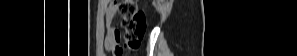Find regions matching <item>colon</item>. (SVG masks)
<instances>
[{"label": "colon", "mask_w": 297, "mask_h": 56, "mask_svg": "<svg viewBox=\"0 0 297 56\" xmlns=\"http://www.w3.org/2000/svg\"><path fill=\"white\" fill-rule=\"evenodd\" d=\"M122 20L121 25L125 31V46L128 49H138L146 31V17L143 10L135 0H122L114 3ZM116 56L122 55V49L116 51Z\"/></svg>", "instance_id": "1"}]
</instances>
